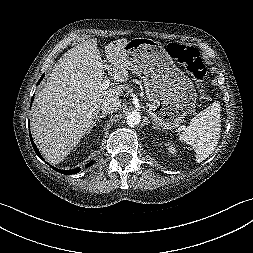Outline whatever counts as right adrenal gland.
I'll return each instance as SVG.
<instances>
[{"label": "right adrenal gland", "instance_id": "1", "mask_svg": "<svg viewBox=\"0 0 253 253\" xmlns=\"http://www.w3.org/2000/svg\"><path fill=\"white\" fill-rule=\"evenodd\" d=\"M106 115H107V114H104V113L99 114V115L97 116L96 120L94 121V126H96V122L102 123V120H101V119H103L104 117H106Z\"/></svg>", "mask_w": 253, "mask_h": 253}]
</instances>
